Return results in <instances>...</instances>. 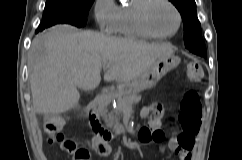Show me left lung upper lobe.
<instances>
[{
	"label": "left lung upper lobe",
	"instance_id": "obj_1",
	"mask_svg": "<svg viewBox=\"0 0 242 160\" xmlns=\"http://www.w3.org/2000/svg\"><path fill=\"white\" fill-rule=\"evenodd\" d=\"M182 16L185 47L191 52L206 58V47L201 36V25L196 14L194 0H170Z\"/></svg>",
	"mask_w": 242,
	"mask_h": 160
}]
</instances>
